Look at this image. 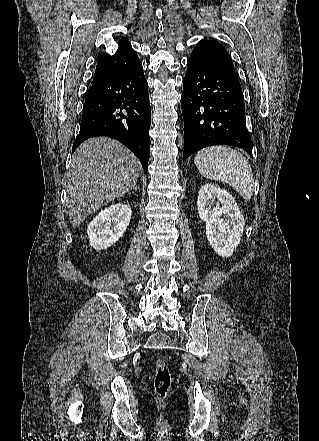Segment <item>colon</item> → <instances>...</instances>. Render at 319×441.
<instances>
[{
	"mask_svg": "<svg viewBox=\"0 0 319 441\" xmlns=\"http://www.w3.org/2000/svg\"><path fill=\"white\" fill-rule=\"evenodd\" d=\"M155 391L159 396H165L171 385V375L167 363L158 358L155 360Z\"/></svg>",
	"mask_w": 319,
	"mask_h": 441,
	"instance_id": "1",
	"label": "colon"
}]
</instances>
